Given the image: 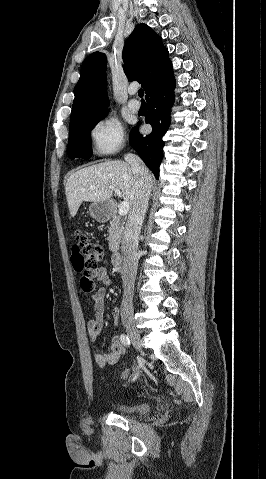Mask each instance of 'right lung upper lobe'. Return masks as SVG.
Instances as JSON below:
<instances>
[{"label":"right lung upper lobe","instance_id":"right-lung-upper-lobe-1","mask_svg":"<svg viewBox=\"0 0 266 479\" xmlns=\"http://www.w3.org/2000/svg\"><path fill=\"white\" fill-rule=\"evenodd\" d=\"M124 72L130 81L137 80L146 95L173 77L168 50L146 24H138L123 48ZM106 56L100 52L89 55L81 67L75 88L70 122L106 112Z\"/></svg>","mask_w":266,"mask_h":479}]
</instances>
